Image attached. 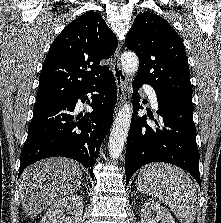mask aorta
<instances>
[{
    "label": "aorta",
    "mask_w": 221,
    "mask_h": 223,
    "mask_svg": "<svg viewBox=\"0 0 221 223\" xmlns=\"http://www.w3.org/2000/svg\"><path fill=\"white\" fill-rule=\"evenodd\" d=\"M121 65L126 74L134 75L138 71L139 59L133 52H124L121 56ZM131 117L132 105L130 103H125L114 120L109 136V154L113 160L118 159L124 149L130 128Z\"/></svg>",
    "instance_id": "762f6f07"
}]
</instances>
